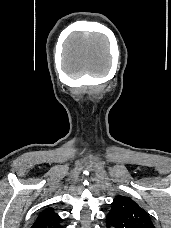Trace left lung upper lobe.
Here are the masks:
<instances>
[{
  "label": "left lung upper lobe",
  "mask_w": 171,
  "mask_h": 228,
  "mask_svg": "<svg viewBox=\"0 0 171 228\" xmlns=\"http://www.w3.org/2000/svg\"><path fill=\"white\" fill-rule=\"evenodd\" d=\"M106 221L115 228H155L149 214L127 196H116Z\"/></svg>",
  "instance_id": "1"
}]
</instances>
